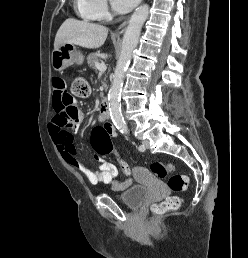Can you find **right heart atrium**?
Returning a JSON list of instances; mask_svg holds the SVG:
<instances>
[{"mask_svg":"<svg viewBox=\"0 0 248 258\" xmlns=\"http://www.w3.org/2000/svg\"><path fill=\"white\" fill-rule=\"evenodd\" d=\"M90 5L98 19L107 17L108 5L106 0H90Z\"/></svg>","mask_w":248,"mask_h":258,"instance_id":"1","label":"right heart atrium"}]
</instances>
